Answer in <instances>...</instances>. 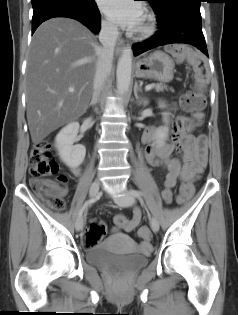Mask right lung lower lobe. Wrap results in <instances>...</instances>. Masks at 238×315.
<instances>
[{
	"mask_svg": "<svg viewBox=\"0 0 238 315\" xmlns=\"http://www.w3.org/2000/svg\"><path fill=\"white\" fill-rule=\"evenodd\" d=\"M32 34L45 20L54 17L73 18L92 32L100 30V12L94 0H32Z\"/></svg>",
	"mask_w": 238,
	"mask_h": 315,
	"instance_id": "obj_1",
	"label": "right lung lower lobe"
}]
</instances>
